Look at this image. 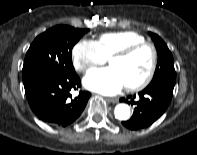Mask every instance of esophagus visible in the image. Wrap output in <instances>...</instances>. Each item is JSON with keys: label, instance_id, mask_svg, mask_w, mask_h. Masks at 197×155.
Masks as SVG:
<instances>
[{"label": "esophagus", "instance_id": "esophagus-1", "mask_svg": "<svg viewBox=\"0 0 197 155\" xmlns=\"http://www.w3.org/2000/svg\"><path fill=\"white\" fill-rule=\"evenodd\" d=\"M106 100H107L108 102L113 103V104H115V103L118 102V99H116V98H106Z\"/></svg>", "mask_w": 197, "mask_h": 155}]
</instances>
